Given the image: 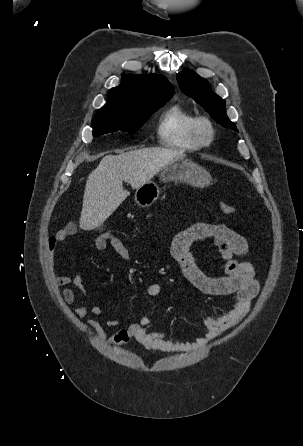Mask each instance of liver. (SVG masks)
I'll return each instance as SVG.
<instances>
[{"mask_svg":"<svg viewBox=\"0 0 303 446\" xmlns=\"http://www.w3.org/2000/svg\"><path fill=\"white\" fill-rule=\"evenodd\" d=\"M177 150L146 148L105 156L87 179L80 227L92 230L101 225L130 195L123 181L138 189L174 160L183 157Z\"/></svg>","mask_w":303,"mask_h":446,"instance_id":"6515ba94","label":"liver"}]
</instances>
